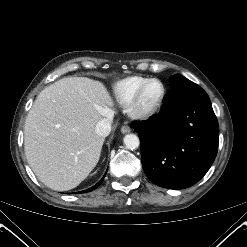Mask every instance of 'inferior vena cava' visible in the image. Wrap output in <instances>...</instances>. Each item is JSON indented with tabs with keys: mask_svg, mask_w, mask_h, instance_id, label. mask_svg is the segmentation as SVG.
<instances>
[{
	"mask_svg": "<svg viewBox=\"0 0 247 247\" xmlns=\"http://www.w3.org/2000/svg\"><path fill=\"white\" fill-rule=\"evenodd\" d=\"M113 115L109 118H104L100 120L96 126H95V132L98 136L106 137L111 132V121H112Z\"/></svg>",
	"mask_w": 247,
	"mask_h": 247,
	"instance_id": "602c4592",
	"label": "inferior vena cava"
}]
</instances>
